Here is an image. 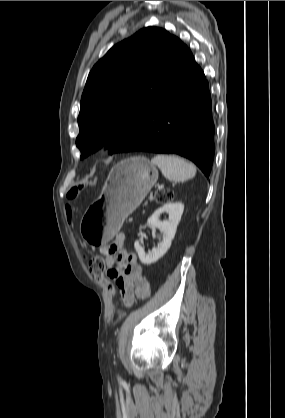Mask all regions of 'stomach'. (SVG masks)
<instances>
[{
    "label": "stomach",
    "instance_id": "1",
    "mask_svg": "<svg viewBox=\"0 0 285 418\" xmlns=\"http://www.w3.org/2000/svg\"><path fill=\"white\" fill-rule=\"evenodd\" d=\"M157 180V168L143 156L117 163L109 173L102 194L81 220L80 232L85 241L95 246L110 241Z\"/></svg>",
    "mask_w": 285,
    "mask_h": 418
}]
</instances>
